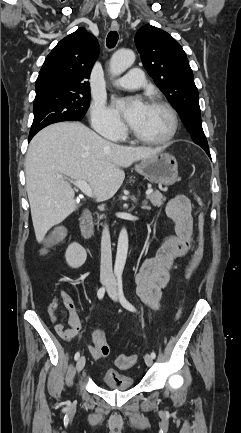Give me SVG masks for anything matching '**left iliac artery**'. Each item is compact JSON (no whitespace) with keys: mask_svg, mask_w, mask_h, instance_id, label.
Segmentation results:
<instances>
[{"mask_svg":"<svg viewBox=\"0 0 241 433\" xmlns=\"http://www.w3.org/2000/svg\"><path fill=\"white\" fill-rule=\"evenodd\" d=\"M117 290H118V295H119L120 302L123 305V307L126 308L129 311L136 312L135 307L124 296L122 277L121 276L117 277ZM151 357L153 359L156 357L155 352L151 353Z\"/></svg>","mask_w":241,"mask_h":433,"instance_id":"44dca946","label":"left iliac artery"}]
</instances>
